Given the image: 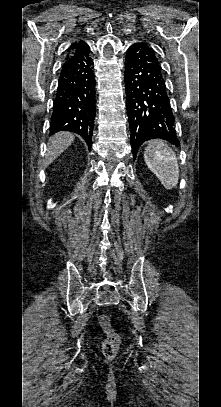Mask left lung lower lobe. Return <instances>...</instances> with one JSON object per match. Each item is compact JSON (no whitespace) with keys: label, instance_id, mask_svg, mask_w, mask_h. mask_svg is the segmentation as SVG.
I'll return each instance as SVG.
<instances>
[{"label":"left lung lower lobe","instance_id":"obj_1","mask_svg":"<svg viewBox=\"0 0 221 407\" xmlns=\"http://www.w3.org/2000/svg\"><path fill=\"white\" fill-rule=\"evenodd\" d=\"M124 75L133 157L144 141L153 138L178 146L175 117L155 51L145 43L131 45Z\"/></svg>","mask_w":221,"mask_h":407}]
</instances>
